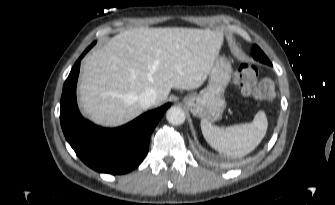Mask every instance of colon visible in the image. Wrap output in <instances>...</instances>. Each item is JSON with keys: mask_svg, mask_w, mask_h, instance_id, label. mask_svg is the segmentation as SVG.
<instances>
[{"mask_svg": "<svg viewBox=\"0 0 335 205\" xmlns=\"http://www.w3.org/2000/svg\"><path fill=\"white\" fill-rule=\"evenodd\" d=\"M234 82L244 95L258 99H271L275 95V87L270 79L258 81L257 69L254 65L244 63L234 74Z\"/></svg>", "mask_w": 335, "mask_h": 205, "instance_id": "1", "label": "colon"}]
</instances>
